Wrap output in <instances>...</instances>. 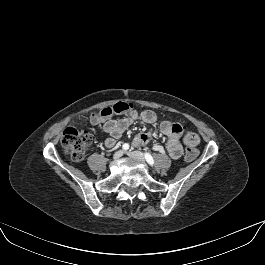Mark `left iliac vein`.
<instances>
[{
    "label": "left iliac vein",
    "mask_w": 265,
    "mask_h": 265,
    "mask_svg": "<svg viewBox=\"0 0 265 265\" xmlns=\"http://www.w3.org/2000/svg\"><path fill=\"white\" fill-rule=\"evenodd\" d=\"M131 158L137 159L141 162L145 161V157L143 155V153H141L140 151H128L126 152Z\"/></svg>",
    "instance_id": "1"
}]
</instances>
